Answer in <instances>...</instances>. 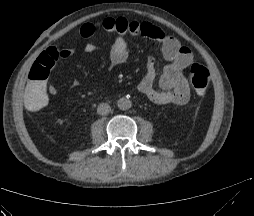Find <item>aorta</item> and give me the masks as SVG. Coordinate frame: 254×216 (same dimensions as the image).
<instances>
[{"instance_id": "aorta-1", "label": "aorta", "mask_w": 254, "mask_h": 216, "mask_svg": "<svg viewBox=\"0 0 254 216\" xmlns=\"http://www.w3.org/2000/svg\"><path fill=\"white\" fill-rule=\"evenodd\" d=\"M117 105H118V108H119L120 110L125 111V110H128V109L131 108L132 103H131V101H130L129 99H127V98H120V99L118 100V102H117Z\"/></svg>"}]
</instances>
